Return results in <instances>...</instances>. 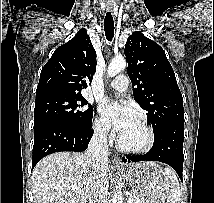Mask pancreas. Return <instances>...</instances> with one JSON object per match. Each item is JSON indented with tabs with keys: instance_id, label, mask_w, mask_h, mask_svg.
Listing matches in <instances>:
<instances>
[{
	"instance_id": "obj_1",
	"label": "pancreas",
	"mask_w": 214,
	"mask_h": 203,
	"mask_svg": "<svg viewBox=\"0 0 214 203\" xmlns=\"http://www.w3.org/2000/svg\"><path fill=\"white\" fill-rule=\"evenodd\" d=\"M130 197L133 199V203H137V201H136V194L134 192H132L130 194Z\"/></svg>"
}]
</instances>
